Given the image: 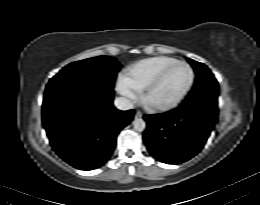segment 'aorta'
I'll list each match as a JSON object with an SVG mask.
<instances>
[{
	"mask_svg": "<svg viewBox=\"0 0 260 205\" xmlns=\"http://www.w3.org/2000/svg\"><path fill=\"white\" fill-rule=\"evenodd\" d=\"M134 130L142 132L146 128V123L142 118H135L133 121Z\"/></svg>",
	"mask_w": 260,
	"mask_h": 205,
	"instance_id": "1",
	"label": "aorta"
}]
</instances>
